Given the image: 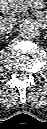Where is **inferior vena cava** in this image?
Listing matches in <instances>:
<instances>
[{
    "instance_id": "1",
    "label": "inferior vena cava",
    "mask_w": 47,
    "mask_h": 129,
    "mask_svg": "<svg viewBox=\"0 0 47 129\" xmlns=\"http://www.w3.org/2000/svg\"><path fill=\"white\" fill-rule=\"evenodd\" d=\"M17 24V19L13 17H6L1 21V31L10 32Z\"/></svg>"
}]
</instances>
